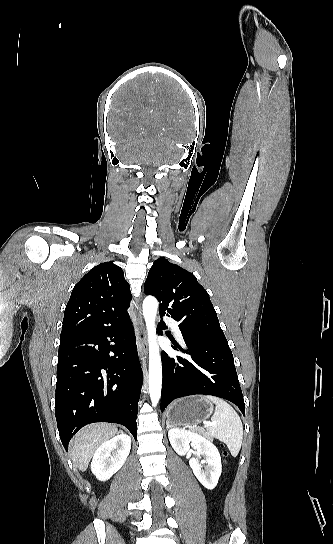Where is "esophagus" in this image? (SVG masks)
<instances>
[{
	"instance_id": "1",
	"label": "esophagus",
	"mask_w": 333,
	"mask_h": 544,
	"mask_svg": "<svg viewBox=\"0 0 333 544\" xmlns=\"http://www.w3.org/2000/svg\"><path fill=\"white\" fill-rule=\"evenodd\" d=\"M137 309L139 311L140 320L137 326L136 345H137L138 355L140 359L143 360V358H146L147 356L146 330L142 322L140 307L137 306Z\"/></svg>"
}]
</instances>
